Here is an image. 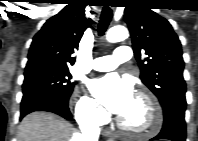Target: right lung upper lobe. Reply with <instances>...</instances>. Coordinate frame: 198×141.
<instances>
[{"mask_svg":"<svg viewBox=\"0 0 198 141\" xmlns=\"http://www.w3.org/2000/svg\"><path fill=\"white\" fill-rule=\"evenodd\" d=\"M86 6L83 0H73L46 21L33 38L25 72L43 68L68 69L75 63L73 54L91 22L85 18Z\"/></svg>","mask_w":198,"mask_h":141,"instance_id":"obj_1","label":"right lung upper lobe"}]
</instances>
